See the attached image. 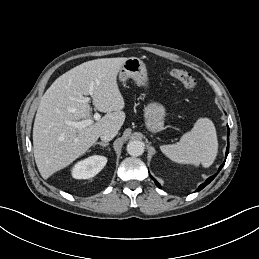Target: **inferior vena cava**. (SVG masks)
<instances>
[{"mask_svg": "<svg viewBox=\"0 0 259 259\" xmlns=\"http://www.w3.org/2000/svg\"><path fill=\"white\" fill-rule=\"evenodd\" d=\"M118 131L114 130V129H110V130H105L100 138L103 142H108L110 140H112L116 135H117Z\"/></svg>", "mask_w": 259, "mask_h": 259, "instance_id": "1", "label": "inferior vena cava"}]
</instances>
